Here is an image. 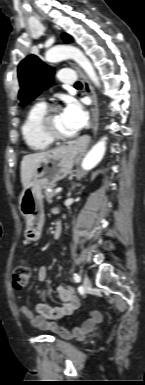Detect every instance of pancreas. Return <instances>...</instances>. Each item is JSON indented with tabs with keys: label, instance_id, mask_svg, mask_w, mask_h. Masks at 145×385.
Returning <instances> with one entry per match:
<instances>
[{
	"label": "pancreas",
	"instance_id": "pancreas-1",
	"mask_svg": "<svg viewBox=\"0 0 145 385\" xmlns=\"http://www.w3.org/2000/svg\"><path fill=\"white\" fill-rule=\"evenodd\" d=\"M53 186H48L47 188H52ZM44 194H45V197H46V200H47V202L48 203H52V199H53V197H54V195H55V192L54 191H48L47 189L45 190V192H44Z\"/></svg>",
	"mask_w": 145,
	"mask_h": 385
}]
</instances>
